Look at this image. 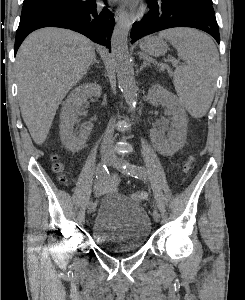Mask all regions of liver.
<instances>
[{
  "instance_id": "6515ba94",
  "label": "liver",
  "mask_w": 245,
  "mask_h": 300,
  "mask_svg": "<svg viewBox=\"0 0 245 300\" xmlns=\"http://www.w3.org/2000/svg\"><path fill=\"white\" fill-rule=\"evenodd\" d=\"M94 56L88 38L53 27L31 33L20 46L15 62L19 105L36 144L46 140L59 105L87 73Z\"/></svg>"
}]
</instances>
